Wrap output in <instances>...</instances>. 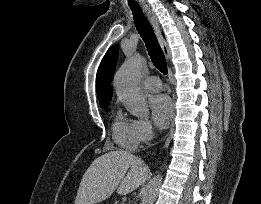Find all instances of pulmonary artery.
Listing matches in <instances>:
<instances>
[{
  "mask_svg": "<svg viewBox=\"0 0 261 204\" xmlns=\"http://www.w3.org/2000/svg\"><path fill=\"white\" fill-rule=\"evenodd\" d=\"M143 85H144L145 89H147L149 91H158L162 87V83H161L160 79L156 76L147 77L143 81Z\"/></svg>",
  "mask_w": 261,
  "mask_h": 204,
  "instance_id": "e3ab8cb5",
  "label": "pulmonary artery"
}]
</instances>
